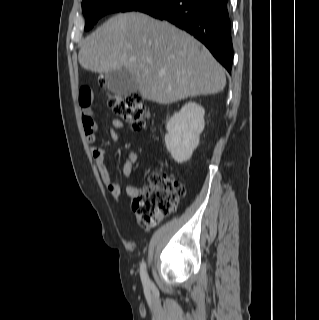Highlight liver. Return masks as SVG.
<instances>
[{"mask_svg":"<svg viewBox=\"0 0 319 320\" xmlns=\"http://www.w3.org/2000/svg\"><path fill=\"white\" fill-rule=\"evenodd\" d=\"M80 65L95 73L126 69L143 99L169 104L221 92L223 67L199 41L142 13L118 14L82 42Z\"/></svg>","mask_w":319,"mask_h":320,"instance_id":"6515ba94","label":"liver"}]
</instances>
